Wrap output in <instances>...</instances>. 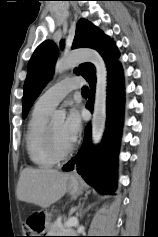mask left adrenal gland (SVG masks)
Listing matches in <instances>:
<instances>
[{
    "label": "left adrenal gland",
    "instance_id": "left-adrenal-gland-1",
    "mask_svg": "<svg viewBox=\"0 0 158 237\" xmlns=\"http://www.w3.org/2000/svg\"><path fill=\"white\" fill-rule=\"evenodd\" d=\"M82 207H83V205H81L80 210H79V213H78V215L80 216V218L83 217L84 212H85V211L82 210Z\"/></svg>",
    "mask_w": 158,
    "mask_h": 237
}]
</instances>
